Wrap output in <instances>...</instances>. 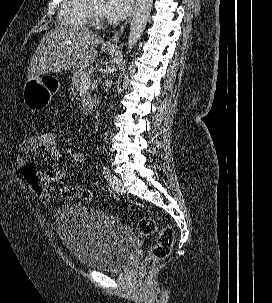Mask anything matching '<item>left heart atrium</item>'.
Masks as SVG:
<instances>
[{
  "instance_id": "39dd6f15",
  "label": "left heart atrium",
  "mask_w": 272,
  "mask_h": 303,
  "mask_svg": "<svg viewBox=\"0 0 272 303\" xmlns=\"http://www.w3.org/2000/svg\"><path fill=\"white\" fill-rule=\"evenodd\" d=\"M131 8V0H104L103 16L110 21L124 19Z\"/></svg>"
}]
</instances>
